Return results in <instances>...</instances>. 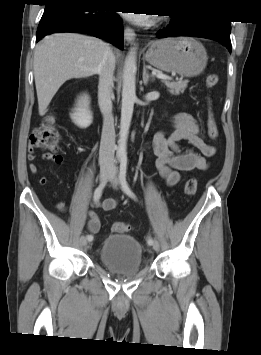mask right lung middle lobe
I'll return each instance as SVG.
<instances>
[{"instance_id":"1","label":"right lung middle lobe","mask_w":261,"mask_h":355,"mask_svg":"<svg viewBox=\"0 0 261 355\" xmlns=\"http://www.w3.org/2000/svg\"><path fill=\"white\" fill-rule=\"evenodd\" d=\"M91 2H94L95 0H90Z\"/></svg>"}]
</instances>
